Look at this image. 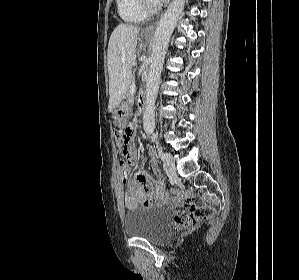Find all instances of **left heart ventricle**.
<instances>
[{
    "label": "left heart ventricle",
    "mask_w": 299,
    "mask_h": 280,
    "mask_svg": "<svg viewBox=\"0 0 299 280\" xmlns=\"http://www.w3.org/2000/svg\"><path fill=\"white\" fill-rule=\"evenodd\" d=\"M149 2H150L151 4H155V3L153 2V0H149Z\"/></svg>",
    "instance_id": "b2bd125f"
}]
</instances>
